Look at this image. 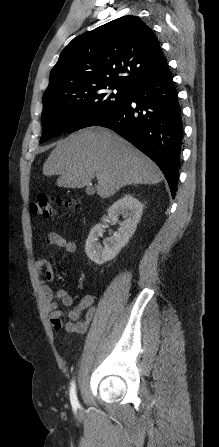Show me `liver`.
<instances>
[{"mask_svg":"<svg viewBox=\"0 0 219 447\" xmlns=\"http://www.w3.org/2000/svg\"><path fill=\"white\" fill-rule=\"evenodd\" d=\"M43 174L59 175L56 185L72 189L87 186L96 176L101 198L113 196L126 185H151L163 180L151 159L103 127L82 129L58 141L44 163Z\"/></svg>","mask_w":219,"mask_h":447,"instance_id":"obj_1","label":"liver"}]
</instances>
